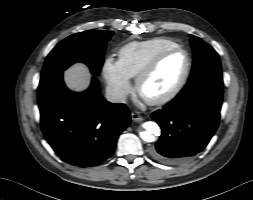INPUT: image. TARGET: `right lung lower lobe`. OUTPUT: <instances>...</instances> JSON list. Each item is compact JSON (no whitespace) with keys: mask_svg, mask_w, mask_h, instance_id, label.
<instances>
[{"mask_svg":"<svg viewBox=\"0 0 253 200\" xmlns=\"http://www.w3.org/2000/svg\"><path fill=\"white\" fill-rule=\"evenodd\" d=\"M38 103L47 141L61 159L79 167L108 159L120 133L130 125V112L106 101L95 78L78 93L66 88L63 72L41 77Z\"/></svg>","mask_w":253,"mask_h":200,"instance_id":"right-lung-lower-lobe-1","label":"right lung lower lobe"}]
</instances>
